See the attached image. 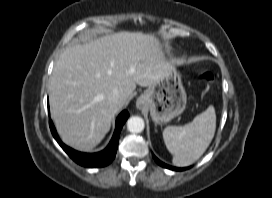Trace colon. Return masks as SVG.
<instances>
[{"mask_svg": "<svg viewBox=\"0 0 272 198\" xmlns=\"http://www.w3.org/2000/svg\"><path fill=\"white\" fill-rule=\"evenodd\" d=\"M203 84H210L213 81V75L210 72H203L198 77Z\"/></svg>", "mask_w": 272, "mask_h": 198, "instance_id": "5ec220e1", "label": "colon"}]
</instances>
